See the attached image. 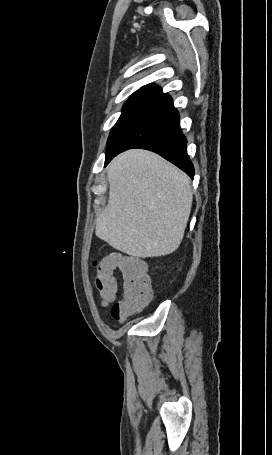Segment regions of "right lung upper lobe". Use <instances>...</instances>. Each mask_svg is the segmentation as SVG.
<instances>
[{
  "instance_id": "1",
  "label": "right lung upper lobe",
  "mask_w": 272,
  "mask_h": 455,
  "mask_svg": "<svg viewBox=\"0 0 272 455\" xmlns=\"http://www.w3.org/2000/svg\"><path fill=\"white\" fill-rule=\"evenodd\" d=\"M130 100L160 102L164 103L165 105L172 103V98L168 94L163 93L162 89L154 84H149L141 87L130 96L128 101Z\"/></svg>"
}]
</instances>
